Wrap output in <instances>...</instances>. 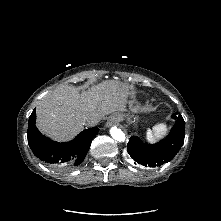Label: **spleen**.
Returning <instances> with one entry per match:
<instances>
[{"label": "spleen", "instance_id": "1", "mask_svg": "<svg viewBox=\"0 0 221 221\" xmlns=\"http://www.w3.org/2000/svg\"><path fill=\"white\" fill-rule=\"evenodd\" d=\"M166 131V125L158 124L153 127V129H147L146 140L153 143L156 138H160Z\"/></svg>", "mask_w": 221, "mask_h": 221}]
</instances>
